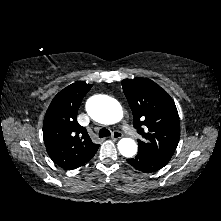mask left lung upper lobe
Wrapping results in <instances>:
<instances>
[{
  "label": "left lung upper lobe",
  "mask_w": 221,
  "mask_h": 221,
  "mask_svg": "<svg viewBox=\"0 0 221 221\" xmlns=\"http://www.w3.org/2000/svg\"><path fill=\"white\" fill-rule=\"evenodd\" d=\"M122 87L133 113V125L143 137L138 140V152L167 164L180 138L174 101L148 78L124 79Z\"/></svg>",
  "instance_id": "left-lung-upper-lobe-1"
}]
</instances>
